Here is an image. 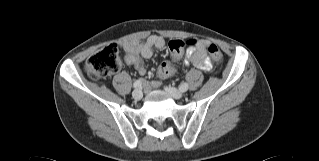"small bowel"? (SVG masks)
Listing matches in <instances>:
<instances>
[{
    "mask_svg": "<svg viewBox=\"0 0 319 161\" xmlns=\"http://www.w3.org/2000/svg\"><path fill=\"white\" fill-rule=\"evenodd\" d=\"M165 44V39L160 35H151L144 42L124 43L122 44V48L126 54L123 57V61L125 64L135 67L140 75H146L148 71L142 58H150L153 55L154 48L162 49L165 47ZM208 45V41L200 40L194 49H190L185 53L184 64H191L202 70H210L212 63L206 51ZM174 72L175 68L173 66L163 65L159 69V77L165 78L172 75ZM159 84L160 80L152 82L153 86H157Z\"/></svg>",
    "mask_w": 319,
    "mask_h": 161,
    "instance_id": "small-bowel-1",
    "label": "small bowel"
}]
</instances>
